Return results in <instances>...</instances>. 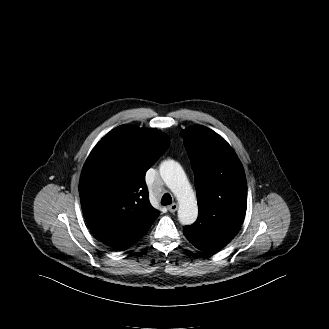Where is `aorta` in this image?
<instances>
[{"label":"aorta","instance_id":"762f6f07","mask_svg":"<svg viewBox=\"0 0 329 329\" xmlns=\"http://www.w3.org/2000/svg\"><path fill=\"white\" fill-rule=\"evenodd\" d=\"M160 175L178 200V219L183 225L193 224L198 216V206L194 191L181 165L174 160H166L160 165Z\"/></svg>","mask_w":329,"mask_h":329}]
</instances>
